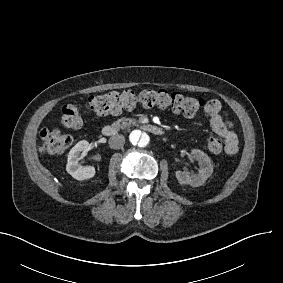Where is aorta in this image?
Wrapping results in <instances>:
<instances>
[{"label":"aorta","mask_w":283,"mask_h":283,"mask_svg":"<svg viewBox=\"0 0 283 283\" xmlns=\"http://www.w3.org/2000/svg\"><path fill=\"white\" fill-rule=\"evenodd\" d=\"M130 143L134 146L144 148L150 143V136L139 129L133 130L129 135Z\"/></svg>","instance_id":"1"}]
</instances>
